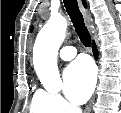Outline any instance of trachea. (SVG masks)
<instances>
[{
  "instance_id": "trachea-1",
  "label": "trachea",
  "mask_w": 121,
  "mask_h": 113,
  "mask_svg": "<svg viewBox=\"0 0 121 113\" xmlns=\"http://www.w3.org/2000/svg\"><path fill=\"white\" fill-rule=\"evenodd\" d=\"M64 5L67 13L69 14L73 26L77 31L79 38L84 46L89 47L91 45V37L88 29L85 26L83 16L79 10L77 0H64Z\"/></svg>"
}]
</instances>
